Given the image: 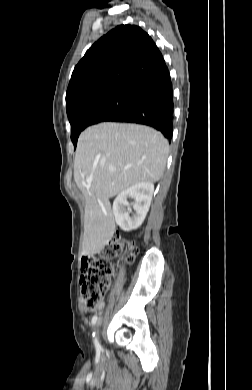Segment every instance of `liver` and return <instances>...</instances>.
Returning a JSON list of instances; mask_svg holds the SVG:
<instances>
[{
    "label": "liver",
    "instance_id": "liver-1",
    "mask_svg": "<svg viewBox=\"0 0 252 390\" xmlns=\"http://www.w3.org/2000/svg\"><path fill=\"white\" fill-rule=\"evenodd\" d=\"M168 151L164 136L143 125L104 122L80 134L74 180L86 202L83 255L99 253L113 237L116 226L109 199L135 184L157 182Z\"/></svg>",
    "mask_w": 252,
    "mask_h": 390
}]
</instances>
